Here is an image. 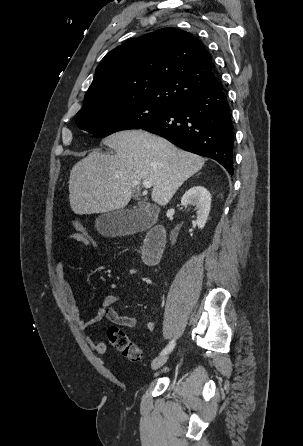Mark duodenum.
I'll return each instance as SVG.
<instances>
[{
	"label": "duodenum",
	"instance_id": "1",
	"mask_svg": "<svg viewBox=\"0 0 303 446\" xmlns=\"http://www.w3.org/2000/svg\"><path fill=\"white\" fill-rule=\"evenodd\" d=\"M166 246V232L160 225L150 228L142 245V259L148 265L156 264Z\"/></svg>",
	"mask_w": 303,
	"mask_h": 446
}]
</instances>
